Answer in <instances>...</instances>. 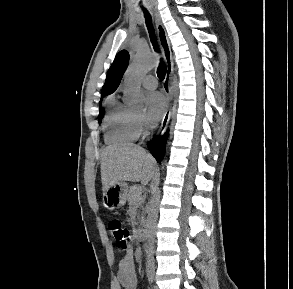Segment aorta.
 Returning <instances> with one entry per match:
<instances>
[{
	"mask_svg": "<svg viewBox=\"0 0 293 289\" xmlns=\"http://www.w3.org/2000/svg\"><path fill=\"white\" fill-rule=\"evenodd\" d=\"M158 59L154 56L138 53L134 62L130 65L125 80V95L130 105L140 106L145 96L141 90L140 78L151 69L157 67ZM160 202V189L153 190L145 223L144 237L148 256L154 252L155 231L158 219V208Z\"/></svg>",
	"mask_w": 293,
	"mask_h": 289,
	"instance_id": "1",
	"label": "aorta"
}]
</instances>
